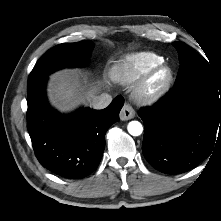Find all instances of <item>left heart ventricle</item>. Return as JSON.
Wrapping results in <instances>:
<instances>
[{
    "mask_svg": "<svg viewBox=\"0 0 221 221\" xmlns=\"http://www.w3.org/2000/svg\"><path fill=\"white\" fill-rule=\"evenodd\" d=\"M166 77H167V72L166 71L159 72L155 76V78L153 79L152 87L156 88V87L160 86L165 81Z\"/></svg>",
    "mask_w": 221,
    "mask_h": 221,
    "instance_id": "obj_1",
    "label": "left heart ventricle"
}]
</instances>
